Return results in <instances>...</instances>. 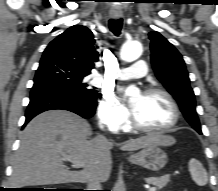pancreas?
<instances>
[{"label": "pancreas", "mask_w": 218, "mask_h": 191, "mask_svg": "<svg viewBox=\"0 0 218 191\" xmlns=\"http://www.w3.org/2000/svg\"><path fill=\"white\" fill-rule=\"evenodd\" d=\"M170 180V176L169 175H165V176H161V177H149L146 178L145 181L148 184H152L154 186H156L158 189L163 188L164 186L167 185V183Z\"/></svg>", "instance_id": "obj_1"}]
</instances>
